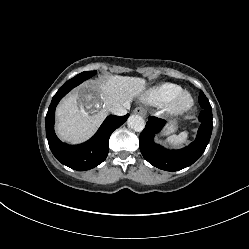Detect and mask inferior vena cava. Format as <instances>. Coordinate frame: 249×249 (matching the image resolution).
<instances>
[{
	"mask_svg": "<svg viewBox=\"0 0 249 249\" xmlns=\"http://www.w3.org/2000/svg\"><path fill=\"white\" fill-rule=\"evenodd\" d=\"M130 108L129 103H125L124 105H116L110 108V112L114 115L123 116L127 114V109Z\"/></svg>",
	"mask_w": 249,
	"mask_h": 249,
	"instance_id": "inferior-vena-cava-1",
	"label": "inferior vena cava"
}]
</instances>
